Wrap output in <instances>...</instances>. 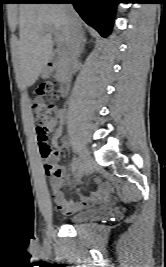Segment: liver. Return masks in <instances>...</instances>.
<instances>
[{
    "instance_id": "liver-1",
    "label": "liver",
    "mask_w": 166,
    "mask_h": 267,
    "mask_svg": "<svg viewBox=\"0 0 166 267\" xmlns=\"http://www.w3.org/2000/svg\"><path fill=\"white\" fill-rule=\"evenodd\" d=\"M79 24L82 20L74 12ZM69 15L62 4H22L19 6V42L15 51L14 68L20 86H32L51 60L53 42L44 29L55 28L68 44Z\"/></svg>"
}]
</instances>
